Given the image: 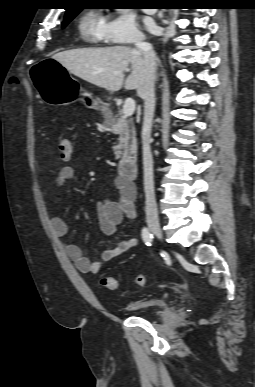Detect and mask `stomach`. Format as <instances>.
<instances>
[{
  "label": "stomach",
  "mask_w": 255,
  "mask_h": 387,
  "mask_svg": "<svg viewBox=\"0 0 255 387\" xmlns=\"http://www.w3.org/2000/svg\"><path fill=\"white\" fill-rule=\"evenodd\" d=\"M37 66H27L34 82V91H39L42 99L49 105L60 106L71 104L76 97L75 80L67 70L53 58L44 62L38 61ZM84 105L97 108L98 104L90 93H80Z\"/></svg>",
  "instance_id": "0dacf381"
}]
</instances>
